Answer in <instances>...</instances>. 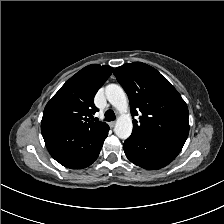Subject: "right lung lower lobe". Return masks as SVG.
<instances>
[{"label": "right lung lower lobe", "instance_id": "right-lung-lower-lobe-1", "mask_svg": "<svg viewBox=\"0 0 224 224\" xmlns=\"http://www.w3.org/2000/svg\"><path fill=\"white\" fill-rule=\"evenodd\" d=\"M109 126L81 131L54 122L41 125L42 136L50 155L61 165L80 169L91 165L98 157Z\"/></svg>", "mask_w": 224, "mask_h": 224}]
</instances>
